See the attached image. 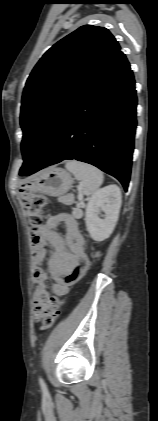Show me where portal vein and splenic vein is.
Returning <instances> with one entry per match:
<instances>
[{
    "mask_svg": "<svg viewBox=\"0 0 158 421\" xmlns=\"http://www.w3.org/2000/svg\"><path fill=\"white\" fill-rule=\"evenodd\" d=\"M79 199H82V196L81 195H79Z\"/></svg>",
    "mask_w": 158,
    "mask_h": 421,
    "instance_id": "18ae733b",
    "label": "portal vein and splenic vein"
}]
</instances>
